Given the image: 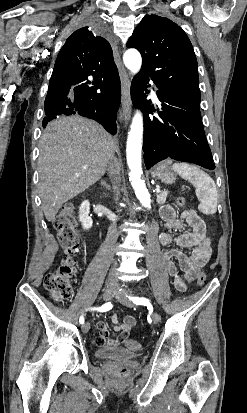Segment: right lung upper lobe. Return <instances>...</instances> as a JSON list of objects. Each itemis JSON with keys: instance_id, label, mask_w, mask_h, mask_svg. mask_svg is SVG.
Instances as JSON below:
<instances>
[{"instance_id": "obj_1", "label": "right lung upper lobe", "mask_w": 247, "mask_h": 413, "mask_svg": "<svg viewBox=\"0 0 247 413\" xmlns=\"http://www.w3.org/2000/svg\"><path fill=\"white\" fill-rule=\"evenodd\" d=\"M90 29L80 28L68 37L56 58L54 74L101 76L117 71L110 44Z\"/></svg>"}]
</instances>
